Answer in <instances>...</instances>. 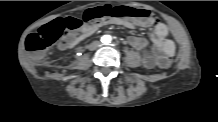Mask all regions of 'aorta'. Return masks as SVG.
Wrapping results in <instances>:
<instances>
[{
  "instance_id": "1",
  "label": "aorta",
  "mask_w": 218,
  "mask_h": 122,
  "mask_svg": "<svg viewBox=\"0 0 218 122\" xmlns=\"http://www.w3.org/2000/svg\"><path fill=\"white\" fill-rule=\"evenodd\" d=\"M112 41V37L110 35H104L101 37V42L105 45L110 44Z\"/></svg>"
}]
</instances>
